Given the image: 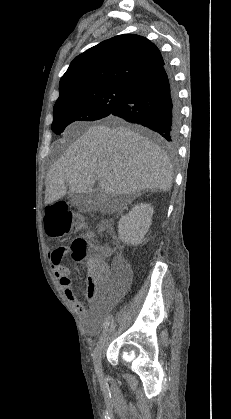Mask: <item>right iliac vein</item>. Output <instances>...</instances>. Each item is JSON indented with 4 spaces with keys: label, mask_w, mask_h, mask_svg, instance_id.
<instances>
[{
    "label": "right iliac vein",
    "mask_w": 231,
    "mask_h": 419,
    "mask_svg": "<svg viewBox=\"0 0 231 419\" xmlns=\"http://www.w3.org/2000/svg\"><path fill=\"white\" fill-rule=\"evenodd\" d=\"M107 337H108V332L106 331L101 336V338L99 339V341H98V343L95 347V350L93 352V363H94V366H95L96 370L101 369V366H102L101 355H102V351H103L104 345L106 343Z\"/></svg>",
    "instance_id": "63e3f726"
}]
</instances>
